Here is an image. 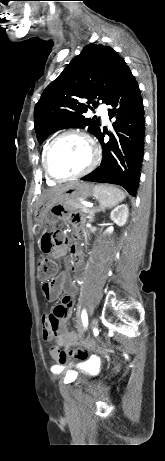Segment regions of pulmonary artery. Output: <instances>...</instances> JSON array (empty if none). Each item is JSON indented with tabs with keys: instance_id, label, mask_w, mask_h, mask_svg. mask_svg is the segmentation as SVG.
Wrapping results in <instances>:
<instances>
[{
	"instance_id": "pulmonary-artery-1",
	"label": "pulmonary artery",
	"mask_w": 165,
	"mask_h": 461,
	"mask_svg": "<svg viewBox=\"0 0 165 461\" xmlns=\"http://www.w3.org/2000/svg\"><path fill=\"white\" fill-rule=\"evenodd\" d=\"M97 112L99 115H101L103 121L105 123H108L109 122V118H108V113H107V110H106V107L103 106V105H100L98 108H97Z\"/></svg>"
}]
</instances>
